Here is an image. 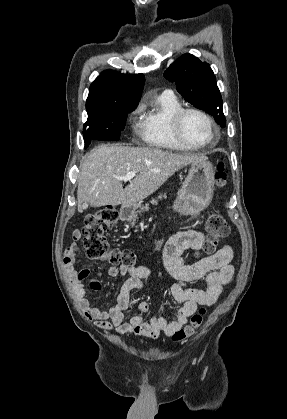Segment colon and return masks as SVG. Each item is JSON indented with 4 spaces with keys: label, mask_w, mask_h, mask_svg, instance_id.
I'll return each mask as SVG.
<instances>
[{
    "label": "colon",
    "mask_w": 287,
    "mask_h": 419,
    "mask_svg": "<svg viewBox=\"0 0 287 419\" xmlns=\"http://www.w3.org/2000/svg\"><path fill=\"white\" fill-rule=\"evenodd\" d=\"M216 181L219 186H223L226 181L224 165H218ZM118 222V212L112 206L102 208L86 218L85 227L81 231L80 240L83 242L88 257L92 259H103L113 264L122 263L132 266L135 261L133 252L120 250L110 246L106 234L111 231ZM209 241L205 244V251L212 253L216 250L219 243L229 236L230 227L219 212L212 213L205 226ZM205 315V309L199 311L191 317L190 323L183 329H179L172 335V340L181 342L194 335L201 326Z\"/></svg>",
    "instance_id": "5ec220e1"
}]
</instances>
